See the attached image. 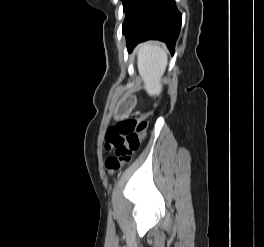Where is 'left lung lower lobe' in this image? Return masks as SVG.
Returning a JSON list of instances; mask_svg holds the SVG:
<instances>
[{
	"label": "left lung lower lobe",
	"instance_id": "left-lung-lower-lobe-1",
	"mask_svg": "<svg viewBox=\"0 0 264 247\" xmlns=\"http://www.w3.org/2000/svg\"><path fill=\"white\" fill-rule=\"evenodd\" d=\"M182 22L175 0H146L130 23L123 29L129 52L140 42L155 39L174 51Z\"/></svg>",
	"mask_w": 264,
	"mask_h": 247
}]
</instances>
